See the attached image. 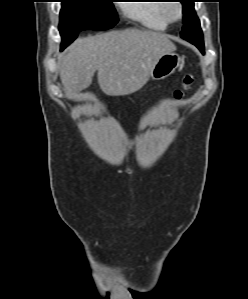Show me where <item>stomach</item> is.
Returning <instances> with one entry per match:
<instances>
[{"label":"stomach","instance_id":"stomach-1","mask_svg":"<svg viewBox=\"0 0 248 299\" xmlns=\"http://www.w3.org/2000/svg\"><path fill=\"white\" fill-rule=\"evenodd\" d=\"M181 58L178 54L171 52L162 55L154 65L150 77L153 80H161L171 75L179 67Z\"/></svg>","mask_w":248,"mask_h":299}]
</instances>
